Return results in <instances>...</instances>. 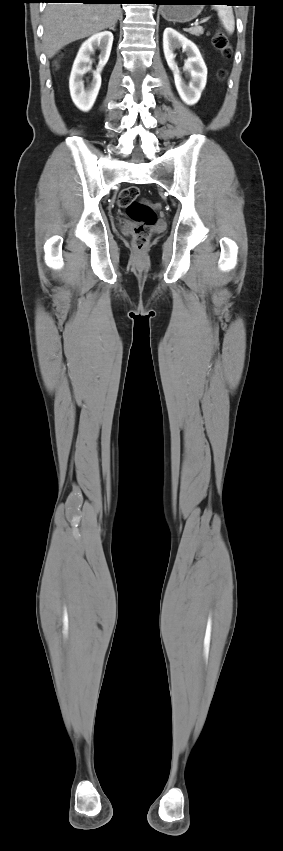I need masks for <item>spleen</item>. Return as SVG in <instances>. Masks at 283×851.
I'll use <instances>...</instances> for the list:
<instances>
[{"mask_svg":"<svg viewBox=\"0 0 283 851\" xmlns=\"http://www.w3.org/2000/svg\"><path fill=\"white\" fill-rule=\"evenodd\" d=\"M215 9L218 12V16L224 28L228 31V33L232 34L235 29V20L232 8L228 6L219 5L216 6Z\"/></svg>","mask_w":283,"mask_h":851,"instance_id":"1","label":"spleen"}]
</instances>
